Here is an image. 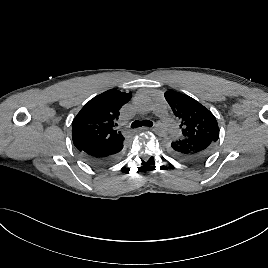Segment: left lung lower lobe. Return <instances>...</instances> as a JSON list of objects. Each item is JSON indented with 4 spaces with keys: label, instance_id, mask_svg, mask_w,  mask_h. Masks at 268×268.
<instances>
[{
    "label": "left lung lower lobe",
    "instance_id": "0a47b994",
    "mask_svg": "<svg viewBox=\"0 0 268 268\" xmlns=\"http://www.w3.org/2000/svg\"><path fill=\"white\" fill-rule=\"evenodd\" d=\"M216 142L209 138H178L166 142L167 152L184 163H197L207 159Z\"/></svg>",
    "mask_w": 268,
    "mask_h": 268
}]
</instances>
